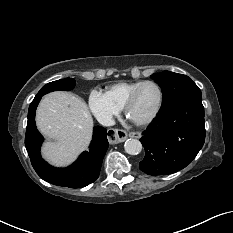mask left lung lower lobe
<instances>
[{
    "mask_svg": "<svg viewBox=\"0 0 233 233\" xmlns=\"http://www.w3.org/2000/svg\"><path fill=\"white\" fill-rule=\"evenodd\" d=\"M142 134L145 157L140 170L149 175H166L185 168L205 141L201 95L186 96L161 107Z\"/></svg>",
    "mask_w": 233,
    "mask_h": 233,
    "instance_id": "1",
    "label": "left lung lower lobe"
}]
</instances>
